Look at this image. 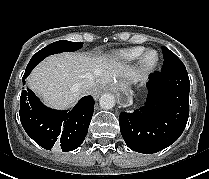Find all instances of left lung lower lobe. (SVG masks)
Listing matches in <instances>:
<instances>
[{
  "label": "left lung lower lobe",
  "instance_id": "left-lung-lower-lobe-1",
  "mask_svg": "<svg viewBox=\"0 0 209 179\" xmlns=\"http://www.w3.org/2000/svg\"><path fill=\"white\" fill-rule=\"evenodd\" d=\"M146 86L145 105L133 113L122 112L119 124L130 149L152 154L173 144L184 131L190 81L186 68H181L151 73Z\"/></svg>",
  "mask_w": 209,
  "mask_h": 179
}]
</instances>
